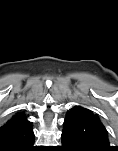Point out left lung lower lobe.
I'll use <instances>...</instances> for the list:
<instances>
[{"label":"left lung lower lobe","mask_w":118,"mask_h":151,"mask_svg":"<svg viewBox=\"0 0 118 151\" xmlns=\"http://www.w3.org/2000/svg\"><path fill=\"white\" fill-rule=\"evenodd\" d=\"M62 151H89L85 144L75 135L62 131Z\"/></svg>","instance_id":"1"}]
</instances>
